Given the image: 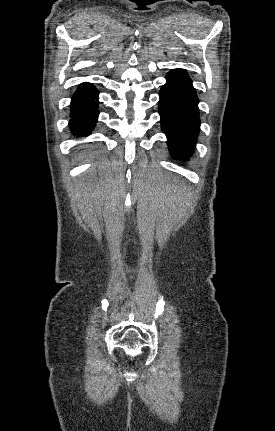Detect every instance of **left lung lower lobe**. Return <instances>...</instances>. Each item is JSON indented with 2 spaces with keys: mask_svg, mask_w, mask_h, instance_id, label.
I'll list each match as a JSON object with an SVG mask.
<instances>
[{
  "mask_svg": "<svg viewBox=\"0 0 275 431\" xmlns=\"http://www.w3.org/2000/svg\"><path fill=\"white\" fill-rule=\"evenodd\" d=\"M166 81L159 93L161 129L167 136L171 156L188 160L199 135V100L186 70L172 69Z\"/></svg>",
  "mask_w": 275,
  "mask_h": 431,
  "instance_id": "obj_1",
  "label": "left lung lower lobe"
}]
</instances>
